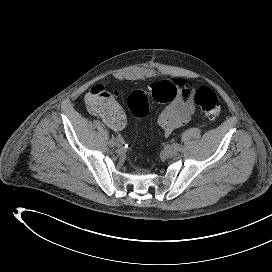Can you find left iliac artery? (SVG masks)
I'll use <instances>...</instances> for the list:
<instances>
[{
	"mask_svg": "<svg viewBox=\"0 0 272 272\" xmlns=\"http://www.w3.org/2000/svg\"><path fill=\"white\" fill-rule=\"evenodd\" d=\"M173 147L178 152L182 151V149H183L182 146L180 144H177V143H174Z\"/></svg>",
	"mask_w": 272,
	"mask_h": 272,
	"instance_id": "obj_1",
	"label": "left iliac artery"
}]
</instances>
